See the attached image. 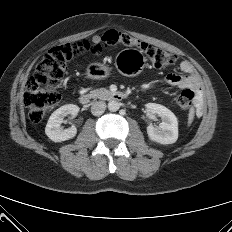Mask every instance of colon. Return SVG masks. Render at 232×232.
<instances>
[{
    "label": "colon",
    "instance_id": "colon-1",
    "mask_svg": "<svg viewBox=\"0 0 232 232\" xmlns=\"http://www.w3.org/2000/svg\"><path fill=\"white\" fill-rule=\"evenodd\" d=\"M116 45L139 48L158 68L171 66L177 59L172 52L116 30H109L92 41L55 46L38 63L33 75L27 81L23 101L28 109L30 121L33 123L40 122L47 111L58 103L57 87L67 73L68 65L73 58L85 53L98 55L105 49ZM193 97L192 90H183L177 97L178 106L182 110H189Z\"/></svg>",
    "mask_w": 232,
    "mask_h": 232
}]
</instances>
